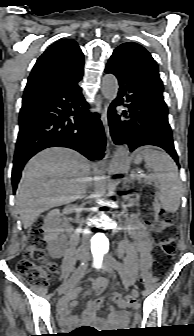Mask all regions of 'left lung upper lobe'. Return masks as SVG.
Returning <instances> with one entry per match:
<instances>
[{
	"label": "left lung upper lobe",
	"mask_w": 194,
	"mask_h": 336,
	"mask_svg": "<svg viewBox=\"0 0 194 336\" xmlns=\"http://www.w3.org/2000/svg\"><path fill=\"white\" fill-rule=\"evenodd\" d=\"M116 50H122L128 53L139 69L163 91V84L159 76L158 66L150 53L141 45L136 43H124Z\"/></svg>",
	"instance_id": "5c2ea615"
}]
</instances>
